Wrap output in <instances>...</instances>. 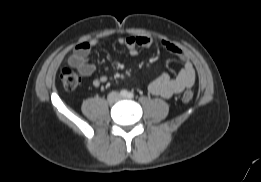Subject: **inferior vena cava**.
I'll list each match as a JSON object with an SVG mask.
<instances>
[{"label": "inferior vena cava", "instance_id": "obj_1", "mask_svg": "<svg viewBox=\"0 0 261 182\" xmlns=\"http://www.w3.org/2000/svg\"><path fill=\"white\" fill-rule=\"evenodd\" d=\"M120 98V94L116 91H113L111 92L109 95H108V99L110 101H114V100H118Z\"/></svg>", "mask_w": 261, "mask_h": 182}]
</instances>
